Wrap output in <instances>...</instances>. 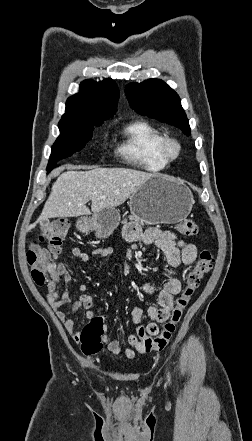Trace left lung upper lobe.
I'll use <instances>...</instances> for the list:
<instances>
[{
	"mask_svg": "<svg viewBox=\"0 0 252 441\" xmlns=\"http://www.w3.org/2000/svg\"><path fill=\"white\" fill-rule=\"evenodd\" d=\"M125 93L130 106L145 115L175 125L189 135L190 126L177 93L159 79L130 83Z\"/></svg>",
	"mask_w": 252,
	"mask_h": 441,
	"instance_id": "obj_1",
	"label": "left lung upper lobe"
}]
</instances>
